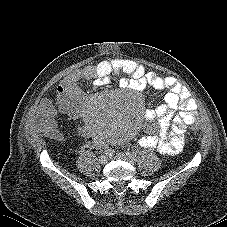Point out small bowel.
<instances>
[{
  "label": "small bowel",
  "mask_w": 227,
  "mask_h": 227,
  "mask_svg": "<svg viewBox=\"0 0 227 227\" xmlns=\"http://www.w3.org/2000/svg\"><path fill=\"white\" fill-rule=\"evenodd\" d=\"M126 75L120 85L133 90H143L153 86L165 90L164 102L148 109L145 119L156 121L149 132L139 138V144L144 148L156 149L162 154L176 155L180 153L185 143V128L196 120L197 103L191 97L188 89L173 77H162L130 60L115 59L89 65L66 76L57 87V98L63 109L78 107L72 100L80 103L85 99V92L80 83L91 80L96 87L106 85L112 77ZM41 113L50 115L53 105L45 101Z\"/></svg>",
  "instance_id": "obj_1"
}]
</instances>
